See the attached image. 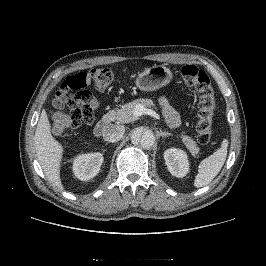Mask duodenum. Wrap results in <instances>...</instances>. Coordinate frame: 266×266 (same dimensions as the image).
Wrapping results in <instances>:
<instances>
[{
  "label": "duodenum",
  "mask_w": 266,
  "mask_h": 266,
  "mask_svg": "<svg viewBox=\"0 0 266 266\" xmlns=\"http://www.w3.org/2000/svg\"><path fill=\"white\" fill-rule=\"evenodd\" d=\"M109 123H110L109 119H104L98 122L94 127V134L96 136L104 135Z\"/></svg>",
  "instance_id": "duodenum-1"
}]
</instances>
